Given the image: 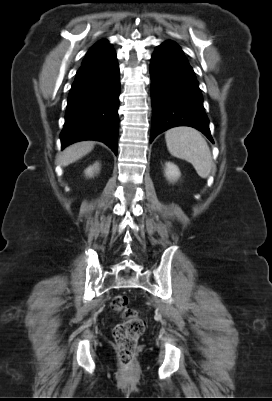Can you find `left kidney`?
Listing matches in <instances>:
<instances>
[{
  "label": "left kidney",
  "mask_w": 272,
  "mask_h": 401,
  "mask_svg": "<svg viewBox=\"0 0 272 401\" xmlns=\"http://www.w3.org/2000/svg\"><path fill=\"white\" fill-rule=\"evenodd\" d=\"M180 175V171L175 164L171 162L166 163L165 176L168 180L176 181L180 177Z\"/></svg>",
  "instance_id": "left-kidney-1"
}]
</instances>
